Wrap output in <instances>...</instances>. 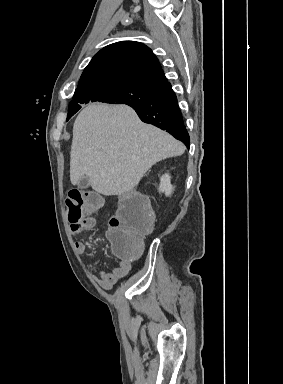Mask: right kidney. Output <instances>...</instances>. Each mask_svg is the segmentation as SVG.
I'll return each instance as SVG.
<instances>
[{
  "label": "right kidney",
  "mask_w": 283,
  "mask_h": 384,
  "mask_svg": "<svg viewBox=\"0 0 283 384\" xmlns=\"http://www.w3.org/2000/svg\"><path fill=\"white\" fill-rule=\"evenodd\" d=\"M169 174H163L160 178V186L158 188L159 192H164L165 196H171L173 192V186L170 184Z\"/></svg>",
  "instance_id": "right-kidney-1"
}]
</instances>
